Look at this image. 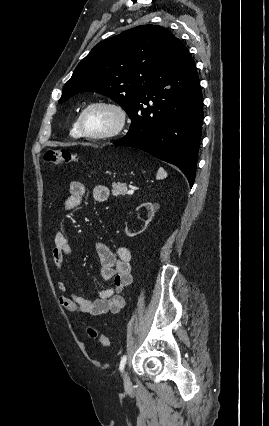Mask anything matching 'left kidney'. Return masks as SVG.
Listing matches in <instances>:
<instances>
[{
	"instance_id": "left-kidney-1",
	"label": "left kidney",
	"mask_w": 269,
	"mask_h": 426,
	"mask_svg": "<svg viewBox=\"0 0 269 426\" xmlns=\"http://www.w3.org/2000/svg\"><path fill=\"white\" fill-rule=\"evenodd\" d=\"M146 208L147 210H148V220H146L145 221V225H144V227H142V230H139V231H136V230H132V228H128L127 226H126V228H125V232H126V234H127V236H129V237H133V236H135V235H137V234H140V233H142L143 232V230L147 227V225H148V223L151 221V218H152V216L155 214V212L159 209V204H152L151 202H145V203H142L139 207H138V209H140V208ZM137 209V210H138Z\"/></svg>"
}]
</instances>
